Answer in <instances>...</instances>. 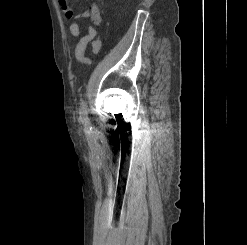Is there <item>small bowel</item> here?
I'll list each match as a JSON object with an SVG mask.
<instances>
[{
  "label": "small bowel",
  "instance_id": "obj_1",
  "mask_svg": "<svg viewBox=\"0 0 247 245\" xmlns=\"http://www.w3.org/2000/svg\"><path fill=\"white\" fill-rule=\"evenodd\" d=\"M61 9L64 12V15L69 20H76V19H87L91 18L94 25H99L101 22V17L99 11L95 7H91L86 9L79 15H74V12L69 7L68 0H58ZM85 27L87 33L78 41L75 46L74 54L78 62L89 64L90 60L86 57L85 51L87 45L91 43V47L94 52H98L101 47V39L98 36L97 30L94 26L91 25H83L78 21H73L70 24V32L73 36L77 37L81 34L82 28Z\"/></svg>",
  "mask_w": 247,
  "mask_h": 245
}]
</instances>
